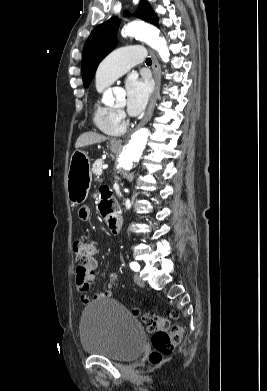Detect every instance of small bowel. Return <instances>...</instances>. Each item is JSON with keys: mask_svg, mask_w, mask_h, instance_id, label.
<instances>
[{"mask_svg": "<svg viewBox=\"0 0 267 391\" xmlns=\"http://www.w3.org/2000/svg\"><path fill=\"white\" fill-rule=\"evenodd\" d=\"M102 202L110 203V192L107 187H101L100 189ZM78 217L81 220H87L89 218V209L87 207H81L78 210ZM96 261L93 262L92 267L87 272H82L76 270V286L77 292L79 293L80 301L84 304H87L91 299L87 295V291L95 277ZM113 295V286L112 283L108 284L106 290L97 293L93 297V301L103 300L109 298Z\"/></svg>", "mask_w": 267, "mask_h": 391, "instance_id": "obj_1", "label": "small bowel"}]
</instances>
